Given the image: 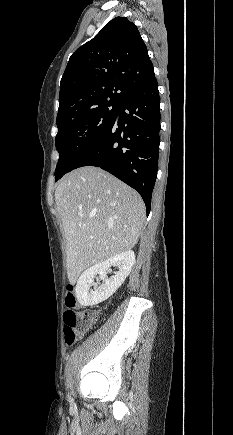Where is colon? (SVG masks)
<instances>
[{
  "label": "colon",
  "instance_id": "1",
  "mask_svg": "<svg viewBox=\"0 0 233 435\" xmlns=\"http://www.w3.org/2000/svg\"><path fill=\"white\" fill-rule=\"evenodd\" d=\"M76 284L67 285L66 304L69 310L66 312L65 321V342L67 346L74 345L91 327L97 317V313L90 309H76Z\"/></svg>",
  "mask_w": 233,
  "mask_h": 435
}]
</instances>
